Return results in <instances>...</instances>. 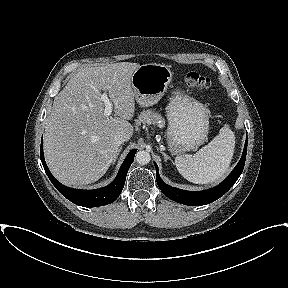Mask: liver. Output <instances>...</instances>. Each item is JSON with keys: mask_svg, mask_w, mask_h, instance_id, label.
I'll return each instance as SVG.
<instances>
[{"mask_svg": "<svg viewBox=\"0 0 288 288\" xmlns=\"http://www.w3.org/2000/svg\"><path fill=\"white\" fill-rule=\"evenodd\" d=\"M138 63L86 67L74 74L55 97L45 120L44 153L61 183L83 186L100 179L115 160L118 134L128 141L135 112L131 77ZM101 90L114 104L116 117L104 114Z\"/></svg>", "mask_w": 288, "mask_h": 288, "instance_id": "6515ba94", "label": "liver"}]
</instances>
